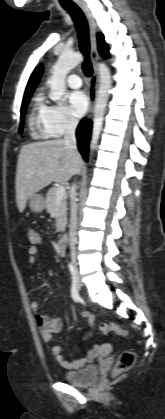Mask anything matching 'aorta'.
I'll return each mask as SVG.
<instances>
[{"instance_id":"1","label":"aorta","mask_w":165,"mask_h":419,"mask_svg":"<svg viewBox=\"0 0 165 419\" xmlns=\"http://www.w3.org/2000/svg\"><path fill=\"white\" fill-rule=\"evenodd\" d=\"M82 61L80 53H62L52 68V76L49 80L50 99L58 101L65 93V78L67 74ZM99 88L97 92L94 114L93 130L90 148L94 149L97 145L104 121L105 110L111 88V74L109 68L104 63L98 64Z\"/></svg>"}]
</instances>
